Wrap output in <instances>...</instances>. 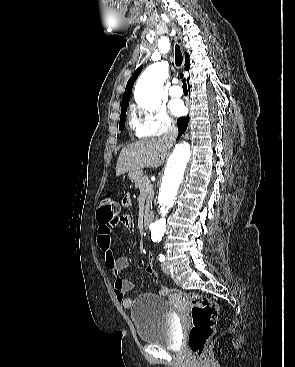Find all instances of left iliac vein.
<instances>
[{"instance_id": "4c4485c4", "label": "left iliac vein", "mask_w": 295, "mask_h": 367, "mask_svg": "<svg viewBox=\"0 0 295 367\" xmlns=\"http://www.w3.org/2000/svg\"><path fill=\"white\" fill-rule=\"evenodd\" d=\"M162 270L166 273V274H169L170 273V268H169V264L168 262H163L162 265Z\"/></svg>"}]
</instances>
